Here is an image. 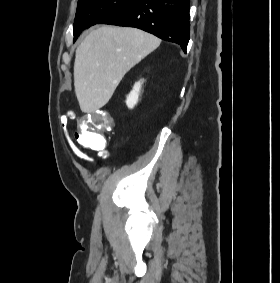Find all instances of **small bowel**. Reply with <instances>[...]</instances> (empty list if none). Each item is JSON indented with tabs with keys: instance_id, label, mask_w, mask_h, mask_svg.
<instances>
[{
	"instance_id": "small-bowel-1",
	"label": "small bowel",
	"mask_w": 280,
	"mask_h": 283,
	"mask_svg": "<svg viewBox=\"0 0 280 283\" xmlns=\"http://www.w3.org/2000/svg\"><path fill=\"white\" fill-rule=\"evenodd\" d=\"M73 118H74V114H67V113H65L61 118V126H62V130L64 132L65 139H66L71 151L73 152V154L77 158H79V159H81V160H83L87 163H91L92 159L87 154H85L82 150H80L71 139V136H70V133H69V124H70V121ZM100 157H101V159L106 160L109 157V154L107 152H102L100 154Z\"/></svg>"
}]
</instances>
